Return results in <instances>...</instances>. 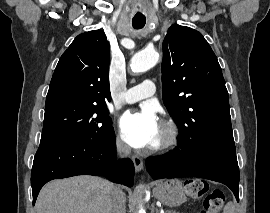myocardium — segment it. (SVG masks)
<instances>
[{"mask_svg": "<svg viewBox=\"0 0 270 213\" xmlns=\"http://www.w3.org/2000/svg\"><path fill=\"white\" fill-rule=\"evenodd\" d=\"M179 141V131L174 122L164 120L161 123V135L157 143L151 147L155 153L164 152L174 147Z\"/></svg>", "mask_w": 270, "mask_h": 213, "instance_id": "f54148a6", "label": "myocardium"}]
</instances>
